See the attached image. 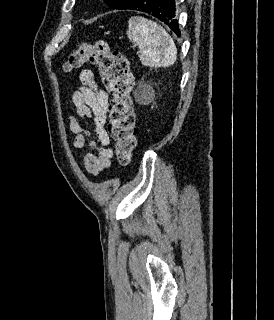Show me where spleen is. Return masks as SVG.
Returning a JSON list of instances; mask_svg holds the SVG:
<instances>
[{
    "label": "spleen",
    "mask_w": 274,
    "mask_h": 320,
    "mask_svg": "<svg viewBox=\"0 0 274 320\" xmlns=\"http://www.w3.org/2000/svg\"><path fill=\"white\" fill-rule=\"evenodd\" d=\"M127 38L139 46L142 66L169 68L177 58V48L168 32L147 18H130Z\"/></svg>",
    "instance_id": "obj_1"
}]
</instances>
